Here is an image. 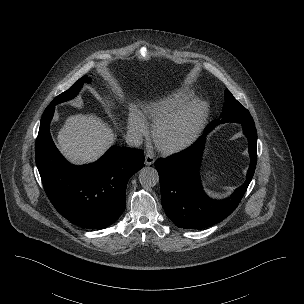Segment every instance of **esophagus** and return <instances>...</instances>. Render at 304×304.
I'll list each match as a JSON object with an SVG mask.
<instances>
[{
	"mask_svg": "<svg viewBox=\"0 0 304 304\" xmlns=\"http://www.w3.org/2000/svg\"><path fill=\"white\" fill-rule=\"evenodd\" d=\"M155 162L154 155L152 153H147L145 155V164L146 165H152Z\"/></svg>",
	"mask_w": 304,
	"mask_h": 304,
	"instance_id": "1",
	"label": "esophagus"
}]
</instances>
